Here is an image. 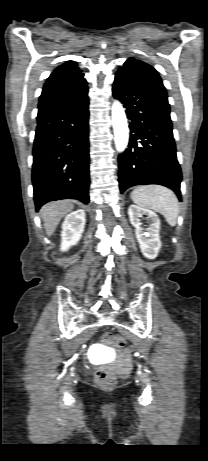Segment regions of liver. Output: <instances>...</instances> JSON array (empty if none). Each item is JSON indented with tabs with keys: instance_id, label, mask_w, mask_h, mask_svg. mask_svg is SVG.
Listing matches in <instances>:
<instances>
[{
	"instance_id": "obj_1",
	"label": "liver",
	"mask_w": 208,
	"mask_h": 461,
	"mask_svg": "<svg viewBox=\"0 0 208 461\" xmlns=\"http://www.w3.org/2000/svg\"><path fill=\"white\" fill-rule=\"evenodd\" d=\"M74 208L69 200L51 202L44 205L40 210L41 218L44 222L46 234L51 236L61 219Z\"/></svg>"
}]
</instances>
